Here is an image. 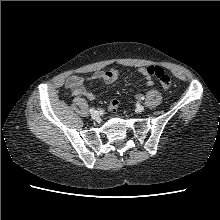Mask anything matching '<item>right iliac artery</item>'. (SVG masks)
Here are the masks:
<instances>
[{
  "label": "right iliac artery",
  "mask_w": 220,
  "mask_h": 220,
  "mask_svg": "<svg viewBox=\"0 0 220 220\" xmlns=\"http://www.w3.org/2000/svg\"><path fill=\"white\" fill-rule=\"evenodd\" d=\"M89 111H90V113H93L95 110L93 108H91Z\"/></svg>",
  "instance_id": "1"
}]
</instances>
